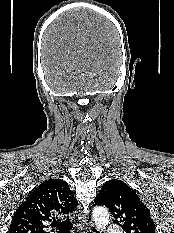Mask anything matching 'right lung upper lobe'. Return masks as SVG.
Listing matches in <instances>:
<instances>
[{
    "mask_svg": "<svg viewBox=\"0 0 174 233\" xmlns=\"http://www.w3.org/2000/svg\"><path fill=\"white\" fill-rule=\"evenodd\" d=\"M78 204L68 183L49 179L36 187L14 213L9 233H46L44 224Z\"/></svg>",
    "mask_w": 174,
    "mask_h": 233,
    "instance_id": "right-lung-upper-lobe-1",
    "label": "right lung upper lobe"
}]
</instances>
